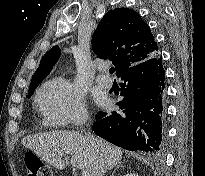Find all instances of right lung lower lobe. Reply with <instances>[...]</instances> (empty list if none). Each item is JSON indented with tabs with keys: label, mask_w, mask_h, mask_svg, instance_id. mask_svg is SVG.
I'll return each mask as SVG.
<instances>
[{
	"label": "right lung lower lobe",
	"mask_w": 205,
	"mask_h": 176,
	"mask_svg": "<svg viewBox=\"0 0 205 176\" xmlns=\"http://www.w3.org/2000/svg\"><path fill=\"white\" fill-rule=\"evenodd\" d=\"M119 112H99L93 131L126 150L161 154L165 140V71L160 56L125 70Z\"/></svg>",
	"instance_id": "obj_1"
}]
</instances>
